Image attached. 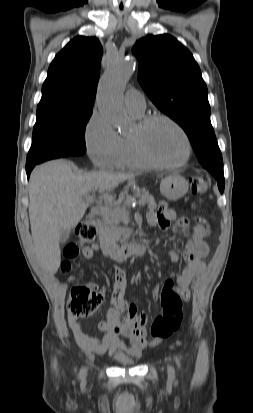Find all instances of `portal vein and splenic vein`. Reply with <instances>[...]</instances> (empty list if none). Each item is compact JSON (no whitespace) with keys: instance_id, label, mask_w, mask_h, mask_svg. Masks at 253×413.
<instances>
[{"instance_id":"portal-vein-and-splenic-vein-1","label":"portal vein and splenic vein","mask_w":253,"mask_h":413,"mask_svg":"<svg viewBox=\"0 0 253 413\" xmlns=\"http://www.w3.org/2000/svg\"><path fill=\"white\" fill-rule=\"evenodd\" d=\"M92 200H93L92 196H90V195H87V196H86V201H87V202L91 203ZM139 204H140V203H139ZM140 205H141V204H140Z\"/></svg>"}]
</instances>
